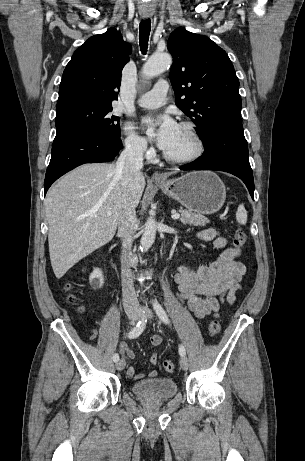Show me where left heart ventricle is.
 I'll return each instance as SVG.
<instances>
[{
	"label": "left heart ventricle",
	"instance_id": "obj_1",
	"mask_svg": "<svg viewBox=\"0 0 305 461\" xmlns=\"http://www.w3.org/2000/svg\"><path fill=\"white\" fill-rule=\"evenodd\" d=\"M194 149V140L186 129L179 126L174 142L165 152L174 157H183L191 154Z\"/></svg>",
	"mask_w": 305,
	"mask_h": 461
}]
</instances>
